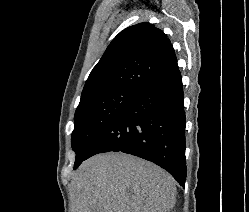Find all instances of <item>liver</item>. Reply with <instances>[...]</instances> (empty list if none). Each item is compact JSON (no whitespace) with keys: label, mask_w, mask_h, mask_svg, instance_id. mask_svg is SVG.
<instances>
[{"label":"liver","mask_w":249,"mask_h":212,"mask_svg":"<svg viewBox=\"0 0 249 212\" xmlns=\"http://www.w3.org/2000/svg\"><path fill=\"white\" fill-rule=\"evenodd\" d=\"M172 176L130 154H97L71 180L72 212H170L176 202Z\"/></svg>","instance_id":"obj_1"}]
</instances>
